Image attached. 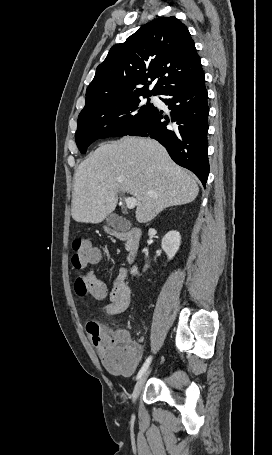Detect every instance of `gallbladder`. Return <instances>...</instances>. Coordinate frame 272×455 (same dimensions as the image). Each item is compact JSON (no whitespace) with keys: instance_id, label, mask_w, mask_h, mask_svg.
<instances>
[{"instance_id":"gallbladder-1","label":"gallbladder","mask_w":272,"mask_h":455,"mask_svg":"<svg viewBox=\"0 0 272 455\" xmlns=\"http://www.w3.org/2000/svg\"><path fill=\"white\" fill-rule=\"evenodd\" d=\"M107 223L112 226L113 228L120 230V231H127L131 228L130 222L126 219L119 217L117 215H111L107 218Z\"/></svg>"}]
</instances>
